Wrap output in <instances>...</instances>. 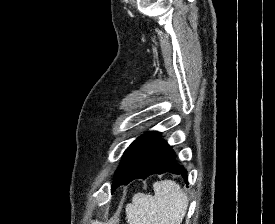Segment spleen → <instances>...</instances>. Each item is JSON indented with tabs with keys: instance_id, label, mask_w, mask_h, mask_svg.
Instances as JSON below:
<instances>
[{
	"instance_id": "obj_1",
	"label": "spleen",
	"mask_w": 275,
	"mask_h": 224,
	"mask_svg": "<svg viewBox=\"0 0 275 224\" xmlns=\"http://www.w3.org/2000/svg\"><path fill=\"white\" fill-rule=\"evenodd\" d=\"M154 196L136 193L126 206L129 224H181L188 207V197L172 180L153 184Z\"/></svg>"
}]
</instances>
